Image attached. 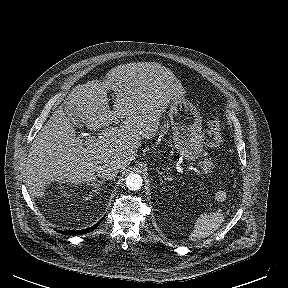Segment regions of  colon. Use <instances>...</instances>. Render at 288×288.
Wrapping results in <instances>:
<instances>
[{
  "label": "colon",
  "mask_w": 288,
  "mask_h": 288,
  "mask_svg": "<svg viewBox=\"0 0 288 288\" xmlns=\"http://www.w3.org/2000/svg\"><path fill=\"white\" fill-rule=\"evenodd\" d=\"M223 129V122L217 117H211L207 122V129L203 135L204 143L212 149L219 150L223 142Z\"/></svg>",
  "instance_id": "1"
}]
</instances>
